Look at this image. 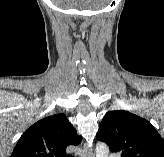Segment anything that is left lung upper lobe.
I'll return each instance as SVG.
<instances>
[{
    "label": "left lung upper lobe",
    "instance_id": "5c2ea615",
    "mask_svg": "<svg viewBox=\"0 0 164 157\" xmlns=\"http://www.w3.org/2000/svg\"><path fill=\"white\" fill-rule=\"evenodd\" d=\"M96 137L121 157H164V140L153 125L124 110L106 113Z\"/></svg>",
    "mask_w": 164,
    "mask_h": 157
}]
</instances>
